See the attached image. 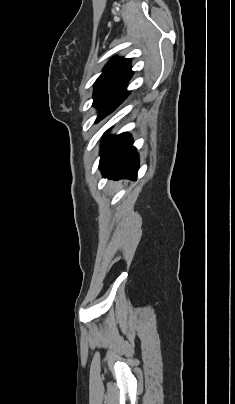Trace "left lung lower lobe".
I'll use <instances>...</instances> for the list:
<instances>
[{
	"label": "left lung lower lobe",
	"mask_w": 235,
	"mask_h": 404,
	"mask_svg": "<svg viewBox=\"0 0 235 404\" xmlns=\"http://www.w3.org/2000/svg\"><path fill=\"white\" fill-rule=\"evenodd\" d=\"M107 133L103 135L99 164L103 176L136 180L139 161L131 136L122 133L108 137Z\"/></svg>",
	"instance_id": "1"
}]
</instances>
